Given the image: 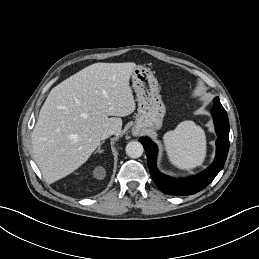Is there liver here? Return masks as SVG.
<instances>
[{
  "label": "liver",
  "instance_id": "1",
  "mask_svg": "<svg viewBox=\"0 0 259 259\" xmlns=\"http://www.w3.org/2000/svg\"><path fill=\"white\" fill-rule=\"evenodd\" d=\"M135 68L132 62L95 63L50 91L32 132L34 160L48 183L84 164L106 129L121 133L119 117L135 110L129 86Z\"/></svg>",
  "mask_w": 259,
  "mask_h": 259
}]
</instances>
